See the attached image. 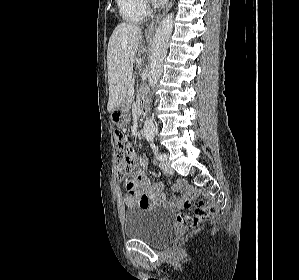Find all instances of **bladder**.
Instances as JSON below:
<instances>
[{
	"instance_id": "1",
	"label": "bladder",
	"mask_w": 299,
	"mask_h": 280,
	"mask_svg": "<svg viewBox=\"0 0 299 280\" xmlns=\"http://www.w3.org/2000/svg\"><path fill=\"white\" fill-rule=\"evenodd\" d=\"M175 227L172 212L160 206L132 209L124 215L125 236L128 239L144 241L154 247L166 245Z\"/></svg>"
}]
</instances>
